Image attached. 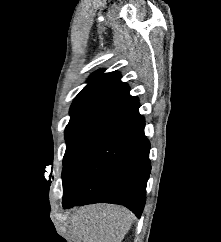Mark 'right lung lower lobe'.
I'll use <instances>...</instances> for the list:
<instances>
[{"label": "right lung lower lobe", "mask_w": 221, "mask_h": 242, "mask_svg": "<svg viewBox=\"0 0 221 242\" xmlns=\"http://www.w3.org/2000/svg\"><path fill=\"white\" fill-rule=\"evenodd\" d=\"M138 109L137 101L95 129L77 149L62 173L64 208L114 203L141 216L151 164Z\"/></svg>", "instance_id": "98d812e1"}]
</instances>
